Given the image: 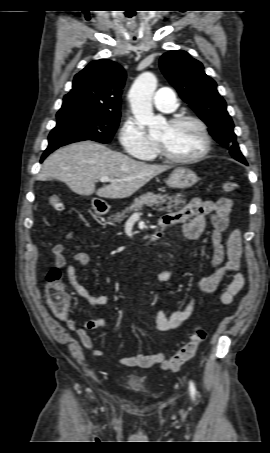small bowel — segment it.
<instances>
[{
  "label": "small bowel",
  "instance_id": "c3829d8e",
  "mask_svg": "<svg viewBox=\"0 0 270 453\" xmlns=\"http://www.w3.org/2000/svg\"><path fill=\"white\" fill-rule=\"evenodd\" d=\"M233 203L232 200L222 197L217 201H202L192 199L181 210L166 214L161 224L165 228L176 225L182 227L184 236L191 241H199L205 226L206 219L211 222V241L213 246L211 266L212 272L201 279L198 283V290L203 294L215 292L219 286L230 277L225 289L221 292L219 301L222 305L232 303L234 296L244 286V276L240 272L242 259V235L238 228L230 229V214ZM229 230V236L226 247L223 244V234ZM75 235L74 231L66 235L67 240H71ZM66 247L64 244H56L52 248L57 268L65 269L68 281L74 292L85 299L93 306H103L108 303V297L105 294L95 295L90 293L87 288L78 280L75 264L85 267L89 263V256L85 252H78L74 256V263L67 262L65 257ZM226 257V261L225 260ZM173 277L171 268L161 271L157 276L158 282H167ZM195 298L179 310L174 311L171 315H166L161 309L150 311L157 328L161 331H169L180 328L190 318L195 308ZM64 321L70 330L77 333L83 346L95 356L103 354L101 349L95 348L88 330L104 327L107 320L104 317L96 318L80 325L77 320L69 315L59 317ZM120 363L128 367L148 368L159 365L165 361L163 353L142 354L137 353L131 356L120 358Z\"/></svg>",
  "mask_w": 270,
  "mask_h": 453
}]
</instances>
